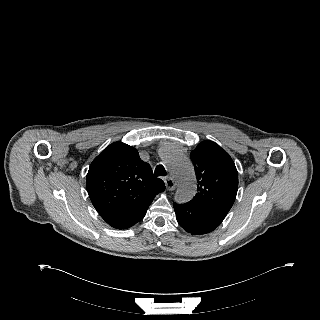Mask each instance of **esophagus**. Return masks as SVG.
<instances>
[{
	"mask_svg": "<svg viewBox=\"0 0 320 320\" xmlns=\"http://www.w3.org/2000/svg\"><path fill=\"white\" fill-rule=\"evenodd\" d=\"M165 186H166V189L169 191H173L176 188L175 182L171 177L166 178Z\"/></svg>",
	"mask_w": 320,
	"mask_h": 320,
	"instance_id": "esophagus-1",
	"label": "esophagus"
}]
</instances>
